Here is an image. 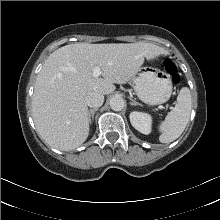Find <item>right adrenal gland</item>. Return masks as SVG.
Here are the masks:
<instances>
[{"label": "right adrenal gland", "instance_id": "obj_1", "mask_svg": "<svg viewBox=\"0 0 220 220\" xmlns=\"http://www.w3.org/2000/svg\"><path fill=\"white\" fill-rule=\"evenodd\" d=\"M98 110V108H93V109H90L89 111H88V119H89V121L90 122H92V119L94 118V113H95V111H97ZM92 118V119H91Z\"/></svg>", "mask_w": 220, "mask_h": 220}]
</instances>
